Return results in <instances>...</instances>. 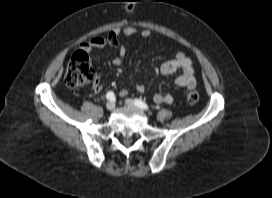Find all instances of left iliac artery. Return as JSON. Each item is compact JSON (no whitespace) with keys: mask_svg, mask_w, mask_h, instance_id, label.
<instances>
[{"mask_svg":"<svg viewBox=\"0 0 272 198\" xmlns=\"http://www.w3.org/2000/svg\"><path fill=\"white\" fill-rule=\"evenodd\" d=\"M134 103L140 109H143V110H148L149 109V106L145 102H143L142 100H140V99H135Z\"/></svg>","mask_w":272,"mask_h":198,"instance_id":"44dca946","label":"left iliac artery"}]
</instances>
